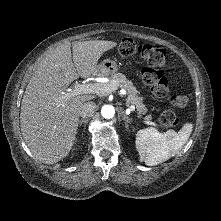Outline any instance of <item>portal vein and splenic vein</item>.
Listing matches in <instances>:
<instances>
[{"instance_id":"obj_1","label":"portal vein and splenic vein","mask_w":221,"mask_h":221,"mask_svg":"<svg viewBox=\"0 0 221 221\" xmlns=\"http://www.w3.org/2000/svg\"><path fill=\"white\" fill-rule=\"evenodd\" d=\"M116 88L114 86H108L106 84L101 83H88V84H75L73 89H68L65 94V98H71L80 94H104L115 91ZM130 111H134L135 107L130 106ZM147 124H151L155 126L156 124L153 122H147Z\"/></svg>"}]
</instances>
